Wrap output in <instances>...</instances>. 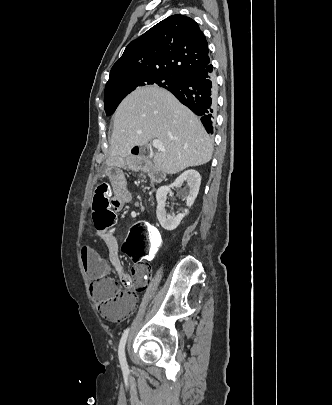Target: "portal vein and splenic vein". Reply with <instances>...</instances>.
<instances>
[{"instance_id":"1","label":"portal vein and splenic vein","mask_w":332,"mask_h":405,"mask_svg":"<svg viewBox=\"0 0 332 405\" xmlns=\"http://www.w3.org/2000/svg\"><path fill=\"white\" fill-rule=\"evenodd\" d=\"M152 146L162 152H165V147L163 146L162 142L160 140H153L152 141Z\"/></svg>"}]
</instances>
